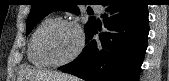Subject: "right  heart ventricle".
<instances>
[{"label":"right heart ventricle","instance_id":"obj_1","mask_svg":"<svg viewBox=\"0 0 169 81\" xmlns=\"http://www.w3.org/2000/svg\"><path fill=\"white\" fill-rule=\"evenodd\" d=\"M56 18L49 16L44 18L34 29L33 33L31 34L28 48H27V56L28 61L37 67H47L48 65L46 62L41 58L39 51H38V38L41 34V32L53 21H55Z\"/></svg>","mask_w":169,"mask_h":81}]
</instances>
